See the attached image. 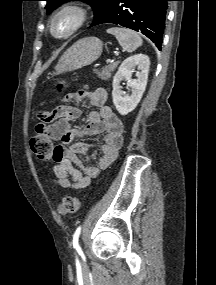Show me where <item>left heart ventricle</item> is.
Segmentation results:
<instances>
[{
    "instance_id": "left-heart-ventricle-1",
    "label": "left heart ventricle",
    "mask_w": 216,
    "mask_h": 285,
    "mask_svg": "<svg viewBox=\"0 0 216 285\" xmlns=\"http://www.w3.org/2000/svg\"><path fill=\"white\" fill-rule=\"evenodd\" d=\"M74 23L72 15H64L59 18L55 23V31L58 34H63L68 31Z\"/></svg>"
}]
</instances>
